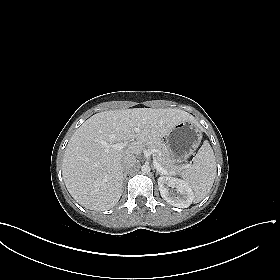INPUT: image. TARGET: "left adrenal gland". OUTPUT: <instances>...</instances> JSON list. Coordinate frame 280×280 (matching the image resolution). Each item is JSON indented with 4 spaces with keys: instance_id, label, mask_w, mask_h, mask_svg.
Here are the masks:
<instances>
[{
    "instance_id": "obj_1",
    "label": "left adrenal gland",
    "mask_w": 280,
    "mask_h": 280,
    "mask_svg": "<svg viewBox=\"0 0 280 280\" xmlns=\"http://www.w3.org/2000/svg\"><path fill=\"white\" fill-rule=\"evenodd\" d=\"M158 174L161 175V176L163 175L161 172H159L158 170H156V175H158Z\"/></svg>"
}]
</instances>
